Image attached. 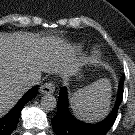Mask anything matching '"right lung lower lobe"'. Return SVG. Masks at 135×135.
Wrapping results in <instances>:
<instances>
[{
    "label": "right lung lower lobe",
    "mask_w": 135,
    "mask_h": 135,
    "mask_svg": "<svg viewBox=\"0 0 135 135\" xmlns=\"http://www.w3.org/2000/svg\"><path fill=\"white\" fill-rule=\"evenodd\" d=\"M38 86L30 89L15 105V107L0 119V135H10L15 129L22 107L37 95Z\"/></svg>",
    "instance_id": "1"
}]
</instances>
